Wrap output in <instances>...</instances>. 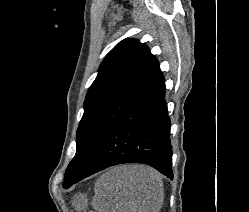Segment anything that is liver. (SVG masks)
<instances>
[{
  "label": "liver",
  "mask_w": 249,
  "mask_h": 212,
  "mask_svg": "<svg viewBox=\"0 0 249 212\" xmlns=\"http://www.w3.org/2000/svg\"><path fill=\"white\" fill-rule=\"evenodd\" d=\"M162 204L161 176L142 164L109 168L97 180L92 202L97 212H160Z\"/></svg>",
  "instance_id": "liver-1"
}]
</instances>
